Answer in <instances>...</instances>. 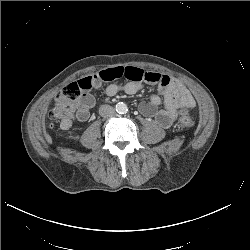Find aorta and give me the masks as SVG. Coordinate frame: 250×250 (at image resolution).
<instances>
[{
  "instance_id": "aorta-1",
  "label": "aorta",
  "mask_w": 250,
  "mask_h": 250,
  "mask_svg": "<svg viewBox=\"0 0 250 250\" xmlns=\"http://www.w3.org/2000/svg\"><path fill=\"white\" fill-rule=\"evenodd\" d=\"M115 110L119 114H125L128 111V107L125 103L119 102L116 104Z\"/></svg>"
}]
</instances>
